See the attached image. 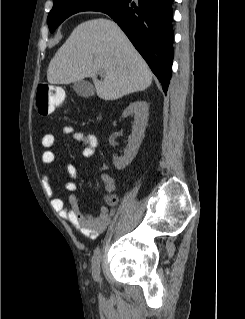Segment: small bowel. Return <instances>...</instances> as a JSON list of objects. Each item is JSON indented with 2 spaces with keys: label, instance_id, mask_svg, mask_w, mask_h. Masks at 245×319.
Returning <instances> with one entry per match:
<instances>
[{
  "label": "small bowel",
  "instance_id": "small-bowel-1",
  "mask_svg": "<svg viewBox=\"0 0 245 319\" xmlns=\"http://www.w3.org/2000/svg\"><path fill=\"white\" fill-rule=\"evenodd\" d=\"M63 134L72 136L75 140L84 144L82 155L85 158H90L94 155L96 147L98 145V139L95 134L90 132H77L75 129L68 125L62 130ZM55 133L48 132L42 138V147L44 151L41 156L42 163L50 165L55 160V153L52 147L55 143ZM66 172L71 180L67 181L65 188L70 192L68 197L69 206L65 205V202L58 197H53L54 191L50 184L48 176L44 177V187L46 194L52 198V206L59 213V215L70 222V224L79 231L82 236L90 239H95L101 234L111 222V214L108 208L103 205L100 209V213L97 216L89 214L81 208L79 205L77 196L74 192L78 186L76 179L78 178L77 167L71 163L66 165ZM105 190L107 193H111L115 190V184L112 178L106 176L104 178Z\"/></svg>",
  "mask_w": 245,
  "mask_h": 319
}]
</instances>
